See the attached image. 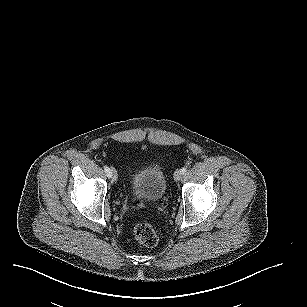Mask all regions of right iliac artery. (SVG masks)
Here are the masks:
<instances>
[{
    "mask_svg": "<svg viewBox=\"0 0 307 307\" xmlns=\"http://www.w3.org/2000/svg\"><path fill=\"white\" fill-rule=\"evenodd\" d=\"M104 170H105V173L107 174L108 177H111L110 175V168L108 166H104Z\"/></svg>",
    "mask_w": 307,
    "mask_h": 307,
    "instance_id": "right-iliac-artery-1",
    "label": "right iliac artery"
}]
</instances>
